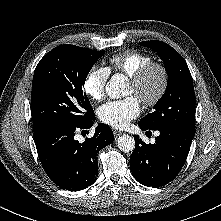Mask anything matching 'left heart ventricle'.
Listing matches in <instances>:
<instances>
[{"instance_id":"left-heart-ventricle-1","label":"left heart ventricle","mask_w":221,"mask_h":221,"mask_svg":"<svg viewBox=\"0 0 221 221\" xmlns=\"http://www.w3.org/2000/svg\"><path fill=\"white\" fill-rule=\"evenodd\" d=\"M159 82H160V75L158 72H154L142 92H137L134 89L133 85L130 84L126 95H134L137 98H139L141 94L151 95L156 91Z\"/></svg>"}]
</instances>
